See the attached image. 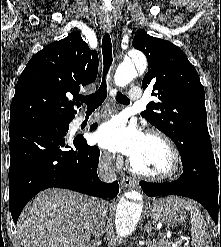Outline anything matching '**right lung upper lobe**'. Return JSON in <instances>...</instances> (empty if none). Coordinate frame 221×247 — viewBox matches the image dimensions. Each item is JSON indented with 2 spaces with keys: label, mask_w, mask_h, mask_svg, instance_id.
Listing matches in <instances>:
<instances>
[{
  "label": "right lung upper lobe",
  "mask_w": 221,
  "mask_h": 247,
  "mask_svg": "<svg viewBox=\"0 0 221 247\" xmlns=\"http://www.w3.org/2000/svg\"><path fill=\"white\" fill-rule=\"evenodd\" d=\"M98 54L79 32L53 42L27 63L10 106V125H47L71 122L76 114L69 99L95 81Z\"/></svg>",
  "instance_id": "1"
}]
</instances>
